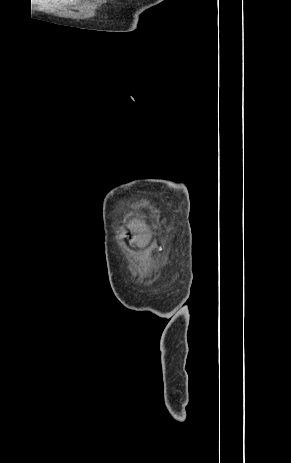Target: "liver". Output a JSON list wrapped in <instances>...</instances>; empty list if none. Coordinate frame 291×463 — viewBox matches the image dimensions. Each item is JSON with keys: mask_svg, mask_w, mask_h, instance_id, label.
<instances>
[{"mask_svg": "<svg viewBox=\"0 0 291 463\" xmlns=\"http://www.w3.org/2000/svg\"><path fill=\"white\" fill-rule=\"evenodd\" d=\"M131 228L138 233V241L141 246H146L150 239L151 234L149 228L144 221L133 219L130 222Z\"/></svg>", "mask_w": 291, "mask_h": 463, "instance_id": "obj_1", "label": "liver"}]
</instances>
